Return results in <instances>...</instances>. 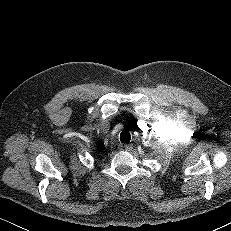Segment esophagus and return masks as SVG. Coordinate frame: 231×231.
<instances>
[{
  "label": "esophagus",
  "instance_id": "esophagus-1",
  "mask_svg": "<svg viewBox=\"0 0 231 231\" xmlns=\"http://www.w3.org/2000/svg\"><path fill=\"white\" fill-rule=\"evenodd\" d=\"M124 149L126 151H131L133 149V146H132V144H127V145L124 146Z\"/></svg>",
  "mask_w": 231,
  "mask_h": 231
}]
</instances>
